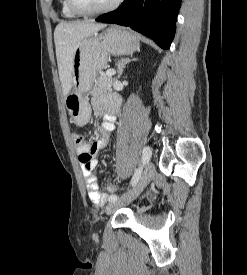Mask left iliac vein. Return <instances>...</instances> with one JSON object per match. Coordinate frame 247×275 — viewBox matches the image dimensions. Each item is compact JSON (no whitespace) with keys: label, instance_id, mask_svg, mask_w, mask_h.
Returning <instances> with one entry per match:
<instances>
[{"label":"left iliac vein","instance_id":"left-iliac-vein-1","mask_svg":"<svg viewBox=\"0 0 247 275\" xmlns=\"http://www.w3.org/2000/svg\"><path fill=\"white\" fill-rule=\"evenodd\" d=\"M155 172L156 170L154 164L152 162H149L139 182L136 184L133 190L129 193H126L120 199L110 202L109 205L106 207V214L110 215L114 213L119 207L136 198L143 191V189L150 183V181L155 175Z\"/></svg>","mask_w":247,"mask_h":275}]
</instances>
